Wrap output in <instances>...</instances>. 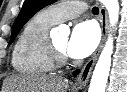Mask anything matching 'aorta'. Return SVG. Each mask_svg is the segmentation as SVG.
<instances>
[{
    "instance_id": "762f6f07",
    "label": "aorta",
    "mask_w": 127,
    "mask_h": 92,
    "mask_svg": "<svg viewBox=\"0 0 127 92\" xmlns=\"http://www.w3.org/2000/svg\"><path fill=\"white\" fill-rule=\"evenodd\" d=\"M106 7L109 15L110 26L114 27L119 19L118 0H100ZM59 32H69L66 25H60L55 29ZM113 53V37L110 34L95 66L88 92H105Z\"/></svg>"
}]
</instances>
